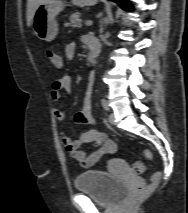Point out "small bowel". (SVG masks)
<instances>
[{
	"label": "small bowel",
	"mask_w": 188,
	"mask_h": 213,
	"mask_svg": "<svg viewBox=\"0 0 188 213\" xmlns=\"http://www.w3.org/2000/svg\"><path fill=\"white\" fill-rule=\"evenodd\" d=\"M89 36H85L83 41L88 45ZM76 51L75 43H68L65 46V57L67 59L73 58ZM59 62L50 60L55 67L63 65V59L59 56ZM93 75H91L92 77ZM72 79L70 76H63L52 83L50 98L52 101H58L61 98V92H71ZM54 117L57 121L63 122L65 118V110L63 108L54 109ZM75 124L96 125L97 121L91 111V95L87 93L84 97L82 111L73 116ZM61 142L71 158L78 161L84 167H91L95 165L104 155L112 154L116 151V143L108 138V136L97 129H91L83 132L78 138L71 139L66 134L61 135ZM92 144L94 149L87 152L82 149V145Z\"/></svg>",
	"instance_id": "c3829d8e"
}]
</instances>
